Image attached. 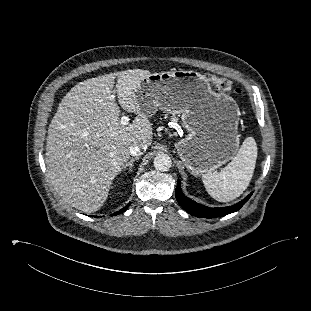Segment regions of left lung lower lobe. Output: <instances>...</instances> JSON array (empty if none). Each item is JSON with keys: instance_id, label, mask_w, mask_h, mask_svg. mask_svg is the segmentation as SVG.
<instances>
[{"instance_id": "1", "label": "left lung lower lobe", "mask_w": 311, "mask_h": 311, "mask_svg": "<svg viewBox=\"0 0 311 311\" xmlns=\"http://www.w3.org/2000/svg\"><path fill=\"white\" fill-rule=\"evenodd\" d=\"M251 195L252 193H250L245 199H243L242 201H240L239 203L233 206H229L225 208H209V207L200 205L196 203L195 201H192L191 199L184 196L180 188L179 180L177 182V187H176V199L178 203L181 205V207L184 208L189 214L196 216V217H202V218L222 217L230 213H233L235 211H238L249 200Z\"/></svg>"}]
</instances>
